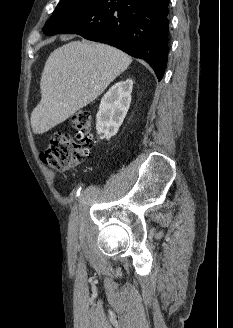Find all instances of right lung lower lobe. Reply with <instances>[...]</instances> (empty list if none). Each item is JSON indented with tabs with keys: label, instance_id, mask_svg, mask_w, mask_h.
<instances>
[{
	"label": "right lung lower lobe",
	"instance_id": "1",
	"mask_svg": "<svg viewBox=\"0 0 233 328\" xmlns=\"http://www.w3.org/2000/svg\"><path fill=\"white\" fill-rule=\"evenodd\" d=\"M169 0H95L57 20L49 34H78L147 61L158 80L168 57Z\"/></svg>",
	"mask_w": 233,
	"mask_h": 328
}]
</instances>
